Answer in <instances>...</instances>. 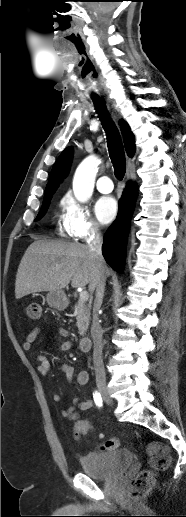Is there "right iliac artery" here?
<instances>
[{"instance_id": "obj_1", "label": "right iliac artery", "mask_w": 186, "mask_h": 517, "mask_svg": "<svg viewBox=\"0 0 186 517\" xmlns=\"http://www.w3.org/2000/svg\"><path fill=\"white\" fill-rule=\"evenodd\" d=\"M93 398H94L96 406H98L100 408L102 406V403H103L101 394L98 391H95L93 393Z\"/></svg>"}]
</instances>
